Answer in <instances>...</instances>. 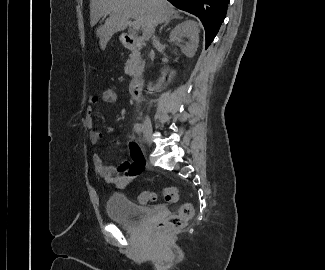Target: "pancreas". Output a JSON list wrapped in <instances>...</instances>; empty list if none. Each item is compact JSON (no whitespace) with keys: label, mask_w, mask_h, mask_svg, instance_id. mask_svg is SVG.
<instances>
[{"label":"pancreas","mask_w":325,"mask_h":270,"mask_svg":"<svg viewBox=\"0 0 325 270\" xmlns=\"http://www.w3.org/2000/svg\"><path fill=\"white\" fill-rule=\"evenodd\" d=\"M144 63L145 62L141 60L138 65H134L131 60H128L126 62L125 73L130 76H135L136 72L144 67Z\"/></svg>","instance_id":"obj_1"}]
</instances>
